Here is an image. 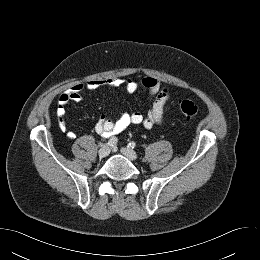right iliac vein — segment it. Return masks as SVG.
<instances>
[{
	"instance_id": "obj_1",
	"label": "right iliac vein",
	"mask_w": 260,
	"mask_h": 260,
	"mask_svg": "<svg viewBox=\"0 0 260 260\" xmlns=\"http://www.w3.org/2000/svg\"><path fill=\"white\" fill-rule=\"evenodd\" d=\"M110 149L108 147H102L99 149L98 154L101 158L108 156Z\"/></svg>"
}]
</instances>
